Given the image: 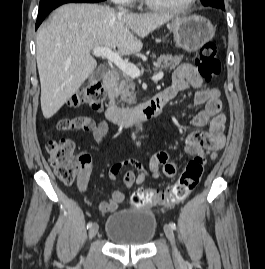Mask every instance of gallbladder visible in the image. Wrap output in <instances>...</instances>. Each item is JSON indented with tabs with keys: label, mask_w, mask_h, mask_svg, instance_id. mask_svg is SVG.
<instances>
[{
	"label": "gallbladder",
	"mask_w": 265,
	"mask_h": 269,
	"mask_svg": "<svg viewBox=\"0 0 265 269\" xmlns=\"http://www.w3.org/2000/svg\"><path fill=\"white\" fill-rule=\"evenodd\" d=\"M104 73V69L99 68L97 69L90 77V79H97V78H101L102 75Z\"/></svg>",
	"instance_id": "1"
}]
</instances>
